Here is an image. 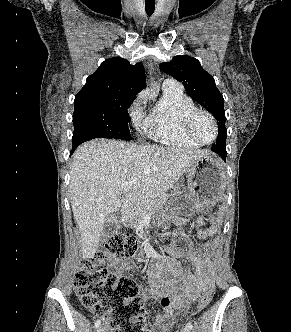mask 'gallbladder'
Returning <instances> with one entry per match:
<instances>
[{
	"label": "gallbladder",
	"instance_id": "1",
	"mask_svg": "<svg viewBox=\"0 0 291 332\" xmlns=\"http://www.w3.org/2000/svg\"><path fill=\"white\" fill-rule=\"evenodd\" d=\"M119 220L115 214H111L105 221L103 226V236L108 237L117 233Z\"/></svg>",
	"mask_w": 291,
	"mask_h": 332
}]
</instances>
